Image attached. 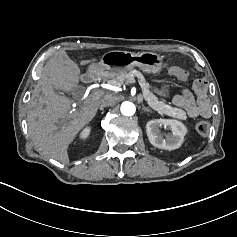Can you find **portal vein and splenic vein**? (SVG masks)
<instances>
[{
  "label": "portal vein and splenic vein",
  "instance_id": "18ae733b",
  "mask_svg": "<svg viewBox=\"0 0 237 237\" xmlns=\"http://www.w3.org/2000/svg\"><path fill=\"white\" fill-rule=\"evenodd\" d=\"M127 84H133V85H135L137 82L135 81V80H133V79H127L126 81H125Z\"/></svg>",
  "mask_w": 237,
  "mask_h": 237
}]
</instances>
